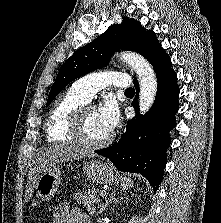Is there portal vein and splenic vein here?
Wrapping results in <instances>:
<instances>
[{
    "label": "portal vein and splenic vein",
    "mask_w": 221,
    "mask_h": 223,
    "mask_svg": "<svg viewBox=\"0 0 221 223\" xmlns=\"http://www.w3.org/2000/svg\"><path fill=\"white\" fill-rule=\"evenodd\" d=\"M100 195H101V196L106 195V192H105V191H103V192H102Z\"/></svg>",
    "instance_id": "portal-vein-and-splenic-vein-1"
}]
</instances>
